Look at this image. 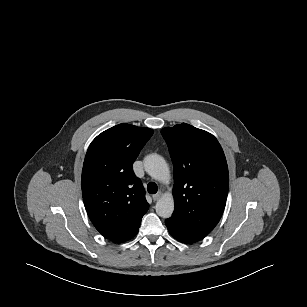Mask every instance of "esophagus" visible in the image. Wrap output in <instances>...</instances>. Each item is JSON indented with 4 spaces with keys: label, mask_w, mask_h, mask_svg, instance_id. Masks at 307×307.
I'll return each instance as SVG.
<instances>
[{
    "label": "esophagus",
    "mask_w": 307,
    "mask_h": 307,
    "mask_svg": "<svg viewBox=\"0 0 307 307\" xmlns=\"http://www.w3.org/2000/svg\"><path fill=\"white\" fill-rule=\"evenodd\" d=\"M161 195H162V193H161V192H158V193L154 194V195L152 196V198H153L154 201H157V200L161 197Z\"/></svg>",
    "instance_id": "obj_1"
}]
</instances>
